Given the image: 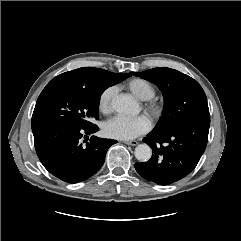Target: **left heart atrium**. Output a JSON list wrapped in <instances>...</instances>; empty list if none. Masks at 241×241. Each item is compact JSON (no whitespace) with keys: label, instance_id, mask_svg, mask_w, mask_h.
Returning a JSON list of instances; mask_svg holds the SVG:
<instances>
[{"label":"left heart atrium","instance_id":"left-heart-atrium-1","mask_svg":"<svg viewBox=\"0 0 241 241\" xmlns=\"http://www.w3.org/2000/svg\"><path fill=\"white\" fill-rule=\"evenodd\" d=\"M150 127L151 122L145 115L133 118L115 116L105 123L103 130L110 138L131 140L146 133Z\"/></svg>","mask_w":241,"mask_h":241}]
</instances>
